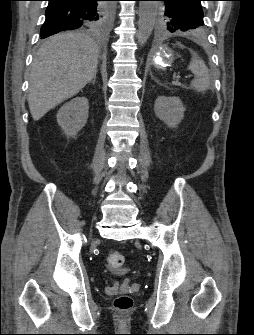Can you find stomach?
I'll use <instances>...</instances> for the list:
<instances>
[{
  "mask_svg": "<svg viewBox=\"0 0 254 335\" xmlns=\"http://www.w3.org/2000/svg\"><path fill=\"white\" fill-rule=\"evenodd\" d=\"M174 60V51L167 46L159 47L150 56L151 64L157 69H165L170 67Z\"/></svg>",
  "mask_w": 254,
  "mask_h": 335,
  "instance_id": "1",
  "label": "stomach"
}]
</instances>
